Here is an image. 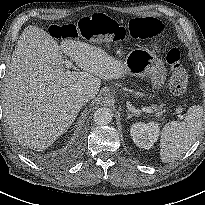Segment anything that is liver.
Masks as SVG:
<instances>
[{
	"label": "liver",
	"instance_id": "1",
	"mask_svg": "<svg viewBox=\"0 0 205 205\" xmlns=\"http://www.w3.org/2000/svg\"><path fill=\"white\" fill-rule=\"evenodd\" d=\"M63 53L83 71L64 68ZM127 74L124 63L103 49L72 39L61 45L37 26L22 32L4 85L3 111L14 137L37 151L51 146L74 122L78 93L94 98L101 79Z\"/></svg>",
	"mask_w": 205,
	"mask_h": 205
}]
</instances>
